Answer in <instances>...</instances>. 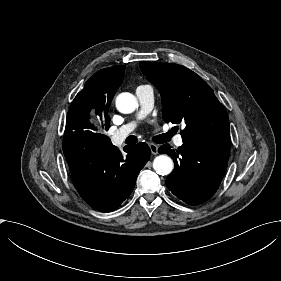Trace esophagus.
<instances>
[{"mask_svg": "<svg viewBox=\"0 0 281 281\" xmlns=\"http://www.w3.org/2000/svg\"><path fill=\"white\" fill-rule=\"evenodd\" d=\"M149 147H150V150L152 152V154H157L158 153V147L157 145L153 144V143H149Z\"/></svg>", "mask_w": 281, "mask_h": 281, "instance_id": "34e87169", "label": "esophagus"}]
</instances>
